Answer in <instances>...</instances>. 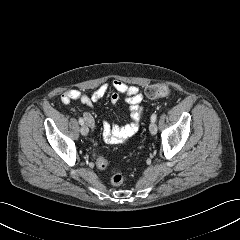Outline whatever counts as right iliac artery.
<instances>
[{"mask_svg": "<svg viewBox=\"0 0 240 240\" xmlns=\"http://www.w3.org/2000/svg\"><path fill=\"white\" fill-rule=\"evenodd\" d=\"M79 123H80V125L84 124V120L81 117L79 118Z\"/></svg>", "mask_w": 240, "mask_h": 240, "instance_id": "right-iliac-artery-1", "label": "right iliac artery"}]
</instances>
